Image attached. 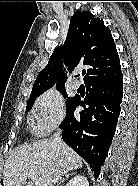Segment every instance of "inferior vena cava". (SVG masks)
<instances>
[{
	"label": "inferior vena cava",
	"instance_id": "602c4592",
	"mask_svg": "<svg viewBox=\"0 0 138 186\" xmlns=\"http://www.w3.org/2000/svg\"><path fill=\"white\" fill-rule=\"evenodd\" d=\"M60 133L61 131L58 130L56 133H54L53 135V139H52V144L55 146V147H60L62 145V140H61V137H60Z\"/></svg>",
	"mask_w": 138,
	"mask_h": 186
}]
</instances>
